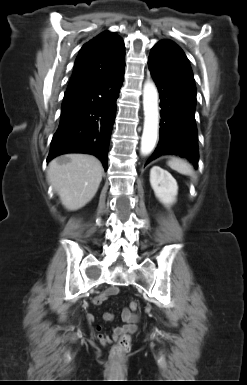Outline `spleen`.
<instances>
[{
    "label": "spleen",
    "mask_w": 247,
    "mask_h": 385,
    "mask_svg": "<svg viewBox=\"0 0 247 385\" xmlns=\"http://www.w3.org/2000/svg\"><path fill=\"white\" fill-rule=\"evenodd\" d=\"M168 166L183 175L190 176L193 174L192 166L188 162L180 158H172L168 162Z\"/></svg>",
    "instance_id": "spleen-1"
}]
</instances>
